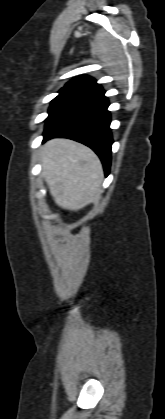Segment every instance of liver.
<instances>
[{
    "label": "liver",
    "mask_w": 165,
    "mask_h": 419,
    "mask_svg": "<svg viewBox=\"0 0 165 419\" xmlns=\"http://www.w3.org/2000/svg\"><path fill=\"white\" fill-rule=\"evenodd\" d=\"M42 173L55 203L77 211L100 197L104 177L98 156L87 146L53 139L41 149Z\"/></svg>",
    "instance_id": "1"
}]
</instances>
